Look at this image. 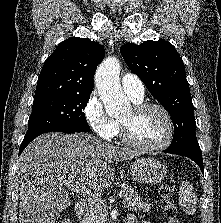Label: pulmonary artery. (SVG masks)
I'll return each instance as SVG.
<instances>
[{
  "instance_id": "pulmonary-artery-1",
  "label": "pulmonary artery",
  "mask_w": 221,
  "mask_h": 223,
  "mask_svg": "<svg viewBox=\"0 0 221 223\" xmlns=\"http://www.w3.org/2000/svg\"><path fill=\"white\" fill-rule=\"evenodd\" d=\"M121 85L133 101L139 102L144 98V84L136 75L125 74L121 79Z\"/></svg>"
}]
</instances>
